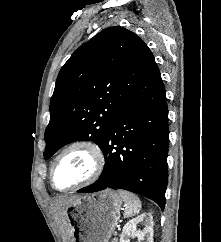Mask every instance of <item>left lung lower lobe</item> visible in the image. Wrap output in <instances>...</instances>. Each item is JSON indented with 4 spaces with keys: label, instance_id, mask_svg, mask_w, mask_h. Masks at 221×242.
<instances>
[{
    "label": "left lung lower lobe",
    "instance_id": "1",
    "mask_svg": "<svg viewBox=\"0 0 221 242\" xmlns=\"http://www.w3.org/2000/svg\"><path fill=\"white\" fill-rule=\"evenodd\" d=\"M168 108L160 72L117 114L101 148L105 165L99 179L78 190L125 189L165 207L168 182Z\"/></svg>",
    "mask_w": 221,
    "mask_h": 242
}]
</instances>
